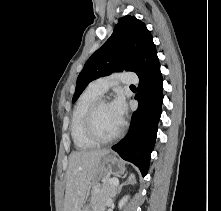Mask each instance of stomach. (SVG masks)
I'll return each mask as SVG.
<instances>
[{
	"mask_svg": "<svg viewBox=\"0 0 221 211\" xmlns=\"http://www.w3.org/2000/svg\"><path fill=\"white\" fill-rule=\"evenodd\" d=\"M124 171L125 163L116 156L107 154L100 160L94 179L105 178L111 175L117 176L124 173ZM81 211H91V206L84 202Z\"/></svg>",
	"mask_w": 221,
	"mask_h": 211,
	"instance_id": "obj_1",
	"label": "stomach"
}]
</instances>
